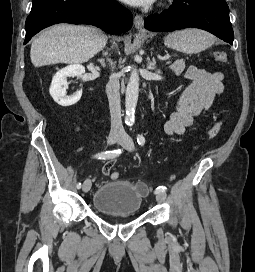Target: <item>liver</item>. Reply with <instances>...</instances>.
<instances>
[{
	"mask_svg": "<svg viewBox=\"0 0 255 272\" xmlns=\"http://www.w3.org/2000/svg\"><path fill=\"white\" fill-rule=\"evenodd\" d=\"M106 43L107 36L95 27L58 24L34 39L30 58L34 67L79 64L94 57Z\"/></svg>",
	"mask_w": 255,
	"mask_h": 272,
	"instance_id": "6515ba94",
	"label": "liver"
}]
</instances>
